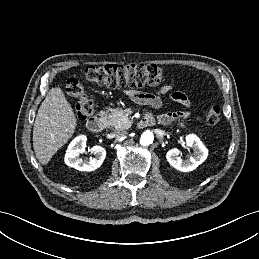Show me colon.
<instances>
[{"label":"colon","mask_w":259,"mask_h":259,"mask_svg":"<svg viewBox=\"0 0 259 259\" xmlns=\"http://www.w3.org/2000/svg\"><path fill=\"white\" fill-rule=\"evenodd\" d=\"M82 77L89 83L111 88H141L160 84L164 80V71L154 64L88 66L84 69ZM64 92L77 99L73 109L78 119L85 120L93 113V100L78 79L68 78L64 85ZM205 118L208 124H217L221 118L220 107L218 105L209 107Z\"/></svg>","instance_id":"obj_1"}]
</instances>
